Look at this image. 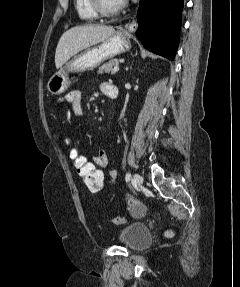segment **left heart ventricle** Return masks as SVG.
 <instances>
[{
	"mask_svg": "<svg viewBox=\"0 0 240 287\" xmlns=\"http://www.w3.org/2000/svg\"><path fill=\"white\" fill-rule=\"evenodd\" d=\"M121 2L122 0H103L104 6L107 8H114Z\"/></svg>",
	"mask_w": 240,
	"mask_h": 287,
	"instance_id": "1",
	"label": "left heart ventricle"
}]
</instances>
